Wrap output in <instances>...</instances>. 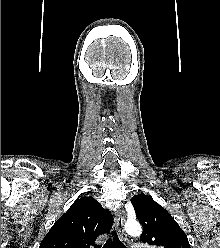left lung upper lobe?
<instances>
[{
  "label": "left lung upper lobe",
  "mask_w": 220,
  "mask_h": 248,
  "mask_svg": "<svg viewBox=\"0 0 220 248\" xmlns=\"http://www.w3.org/2000/svg\"><path fill=\"white\" fill-rule=\"evenodd\" d=\"M131 203L143 226L142 242L159 248H190L187 236L178 223L152 197L136 195Z\"/></svg>",
  "instance_id": "left-lung-upper-lobe-1"
}]
</instances>
